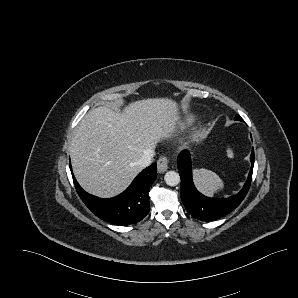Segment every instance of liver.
Here are the masks:
<instances>
[{
	"label": "liver",
	"mask_w": 298,
	"mask_h": 298,
	"mask_svg": "<svg viewBox=\"0 0 298 298\" xmlns=\"http://www.w3.org/2000/svg\"><path fill=\"white\" fill-rule=\"evenodd\" d=\"M180 102L173 97L130 101L121 110L99 106L74 130L69 147L74 177L95 197L123 193L142 172L138 165L147 150L185 132Z\"/></svg>",
	"instance_id": "liver-1"
}]
</instances>
